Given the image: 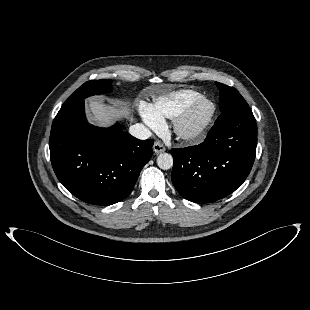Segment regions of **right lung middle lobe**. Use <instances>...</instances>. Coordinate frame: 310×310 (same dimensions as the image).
Masks as SVG:
<instances>
[{"label": "right lung middle lobe", "instance_id": "dd1d6c3e", "mask_svg": "<svg viewBox=\"0 0 310 310\" xmlns=\"http://www.w3.org/2000/svg\"><path fill=\"white\" fill-rule=\"evenodd\" d=\"M111 91V80H91L80 86L63 105L72 103L74 101L84 99L94 94H101Z\"/></svg>", "mask_w": 310, "mask_h": 310}]
</instances>
